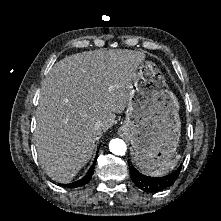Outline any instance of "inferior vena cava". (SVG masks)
<instances>
[{"label": "inferior vena cava", "instance_id": "inferior-vena-cava-1", "mask_svg": "<svg viewBox=\"0 0 221 221\" xmlns=\"http://www.w3.org/2000/svg\"><path fill=\"white\" fill-rule=\"evenodd\" d=\"M101 127H102V122L101 121L96 122L95 125H94V128L97 131L100 130Z\"/></svg>", "mask_w": 221, "mask_h": 221}]
</instances>
